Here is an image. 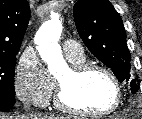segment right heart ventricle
I'll list each match as a JSON object with an SVG mask.
<instances>
[{"mask_svg":"<svg viewBox=\"0 0 142 119\" xmlns=\"http://www.w3.org/2000/svg\"><path fill=\"white\" fill-rule=\"evenodd\" d=\"M69 61L72 63V64H80V63H84L85 62V58L84 56H80V57H77V58H68Z\"/></svg>","mask_w":142,"mask_h":119,"instance_id":"1","label":"right heart ventricle"}]
</instances>
